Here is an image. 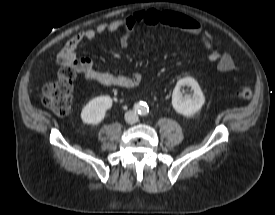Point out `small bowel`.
<instances>
[{"instance_id": "obj_1", "label": "small bowel", "mask_w": 275, "mask_h": 215, "mask_svg": "<svg viewBox=\"0 0 275 215\" xmlns=\"http://www.w3.org/2000/svg\"><path fill=\"white\" fill-rule=\"evenodd\" d=\"M138 24L173 27L196 36L199 38L202 46L208 51L209 59L216 63L217 69L220 72H229L234 68V62L231 56L215 48L211 34L203 29L196 19L173 10L158 9L137 11L125 18L102 23L95 28L77 33L62 49L59 54V59L86 80L95 81L104 86L120 88L135 87L142 81L141 74L136 73L131 76H124L101 71L91 58L79 56L78 48L84 41H89L98 35L116 32L121 29L123 33L120 38V46L127 48L130 33Z\"/></svg>"}]
</instances>
